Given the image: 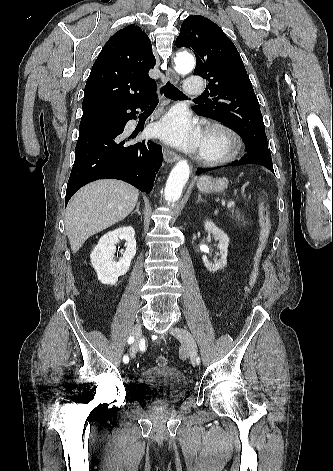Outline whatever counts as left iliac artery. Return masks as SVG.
<instances>
[{"label":"left iliac artery","instance_id":"left-iliac-artery-1","mask_svg":"<svg viewBox=\"0 0 333 471\" xmlns=\"http://www.w3.org/2000/svg\"><path fill=\"white\" fill-rule=\"evenodd\" d=\"M199 362H200V359H199V357H198V358H197V363L199 364Z\"/></svg>","mask_w":333,"mask_h":471}]
</instances>
